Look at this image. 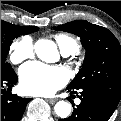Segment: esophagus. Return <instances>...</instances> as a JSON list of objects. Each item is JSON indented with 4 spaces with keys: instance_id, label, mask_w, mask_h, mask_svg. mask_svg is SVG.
I'll use <instances>...</instances> for the list:
<instances>
[{
    "instance_id": "1",
    "label": "esophagus",
    "mask_w": 121,
    "mask_h": 121,
    "mask_svg": "<svg viewBox=\"0 0 121 121\" xmlns=\"http://www.w3.org/2000/svg\"><path fill=\"white\" fill-rule=\"evenodd\" d=\"M47 101H48L50 104H54V103L57 101V99H47Z\"/></svg>"
}]
</instances>
